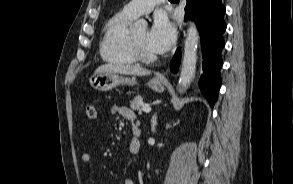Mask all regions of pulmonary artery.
Instances as JSON below:
<instances>
[{
  "mask_svg": "<svg viewBox=\"0 0 293 184\" xmlns=\"http://www.w3.org/2000/svg\"><path fill=\"white\" fill-rule=\"evenodd\" d=\"M164 1L165 0H132L124 6L122 11L125 14L136 18L142 14L151 12L156 4Z\"/></svg>",
  "mask_w": 293,
  "mask_h": 184,
  "instance_id": "pulmonary-artery-1",
  "label": "pulmonary artery"
}]
</instances>
